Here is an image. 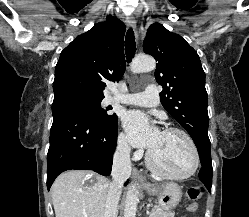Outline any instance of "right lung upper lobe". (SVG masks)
<instances>
[{
    "label": "right lung upper lobe",
    "mask_w": 249,
    "mask_h": 217,
    "mask_svg": "<svg viewBox=\"0 0 249 217\" xmlns=\"http://www.w3.org/2000/svg\"><path fill=\"white\" fill-rule=\"evenodd\" d=\"M124 33V23L108 16L75 38L56 65L54 95L77 91L104 98L105 81H118L125 71Z\"/></svg>",
    "instance_id": "right-lung-upper-lobe-1"
}]
</instances>
